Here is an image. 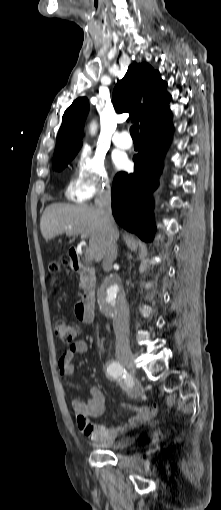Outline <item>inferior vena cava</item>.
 <instances>
[{
    "label": "inferior vena cava",
    "mask_w": 221,
    "mask_h": 510,
    "mask_svg": "<svg viewBox=\"0 0 221 510\" xmlns=\"http://www.w3.org/2000/svg\"><path fill=\"white\" fill-rule=\"evenodd\" d=\"M95 206L101 214L103 226L108 235L107 250L103 258V269L105 272H109L117 257L116 241L118 239V230L112 216L111 191L109 187L98 191L95 198ZM113 324L116 336V352L129 351V307L124 291H121L117 297Z\"/></svg>",
    "instance_id": "602c4592"
}]
</instances>
